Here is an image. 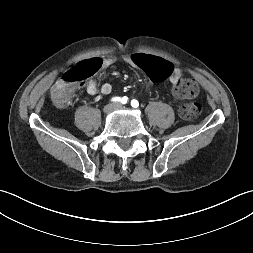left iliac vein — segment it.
<instances>
[{
  "label": "left iliac vein",
  "mask_w": 253,
  "mask_h": 253,
  "mask_svg": "<svg viewBox=\"0 0 253 253\" xmlns=\"http://www.w3.org/2000/svg\"><path fill=\"white\" fill-rule=\"evenodd\" d=\"M121 108H123L122 105H119V104L115 105V109H121Z\"/></svg>",
  "instance_id": "obj_1"
}]
</instances>
